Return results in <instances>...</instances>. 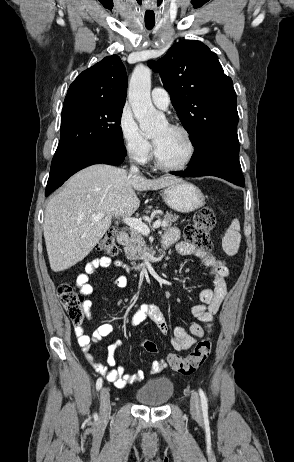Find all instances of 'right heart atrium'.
Here are the masks:
<instances>
[{"instance_id": "right-heart-atrium-1", "label": "right heart atrium", "mask_w": 294, "mask_h": 462, "mask_svg": "<svg viewBox=\"0 0 294 462\" xmlns=\"http://www.w3.org/2000/svg\"><path fill=\"white\" fill-rule=\"evenodd\" d=\"M118 129L127 154L140 164L146 163L150 159L152 145L142 133L131 110L126 106L119 115Z\"/></svg>"}]
</instances>
